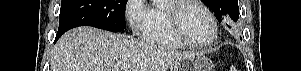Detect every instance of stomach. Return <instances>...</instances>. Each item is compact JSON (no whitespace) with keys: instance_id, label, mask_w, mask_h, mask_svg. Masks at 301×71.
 Instances as JSON below:
<instances>
[{"instance_id":"0dacf381","label":"stomach","mask_w":301,"mask_h":71,"mask_svg":"<svg viewBox=\"0 0 301 71\" xmlns=\"http://www.w3.org/2000/svg\"><path fill=\"white\" fill-rule=\"evenodd\" d=\"M170 71H214L212 61L202 53H192Z\"/></svg>"}]
</instances>
